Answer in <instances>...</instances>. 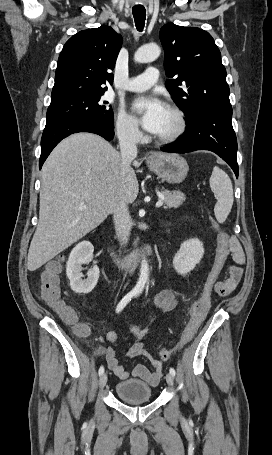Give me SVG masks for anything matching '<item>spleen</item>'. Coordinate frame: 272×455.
<instances>
[{"instance_id": "spleen-1", "label": "spleen", "mask_w": 272, "mask_h": 455, "mask_svg": "<svg viewBox=\"0 0 272 455\" xmlns=\"http://www.w3.org/2000/svg\"><path fill=\"white\" fill-rule=\"evenodd\" d=\"M210 187L217 202L214 213L219 223L225 222L233 205V187L228 175L219 167L215 166L210 177Z\"/></svg>"}]
</instances>
